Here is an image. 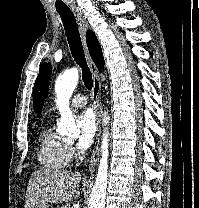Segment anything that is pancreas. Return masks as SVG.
<instances>
[{"label":"pancreas","instance_id":"obj_1","mask_svg":"<svg viewBox=\"0 0 199 208\" xmlns=\"http://www.w3.org/2000/svg\"><path fill=\"white\" fill-rule=\"evenodd\" d=\"M59 208H72V207H71V205L69 203H67V204H65V205H63V206H61Z\"/></svg>","mask_w":199,"mask_h":208}]
</instances>
